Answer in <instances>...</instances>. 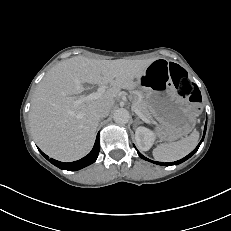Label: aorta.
Listing matches in <instances>:
<instances>
[{"label": "aorta", "mask_w": 231, "mask_h": 231, "mask_svg": "<svg viewBox=\"0 0 231 231\" xmlns=\"http://www.w3.org/2000/svg\"><path fill=\"white\" fill-rule=\"evenodd\" d=\"M113 119L118 124H126L130 119L129 112L124 108H119L114 111Z\"/></svg>", "instance_id": "aorta-1"}]
</instances>
